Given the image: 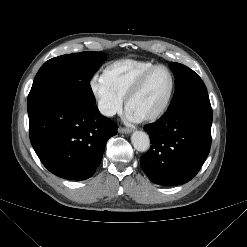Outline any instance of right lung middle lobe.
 I'll return each mask as SVG.
<instances>
[{
    "instance_id": "obj_1",
    "label": "right lung middle lobe",
    "mask_w": 247,
    "mask_h": 247,
    "mask_svg": "<svg viewBox=\"0 0 247 247\" xmlns=\"http://www.w3.org/2000/svg\"><path fill=\"white\" fill-rule=\"evenodd\" d=\"M106 57L102 52L87 51L48 60L35 76L28 107L52 97L95 104L89 82Z\"/></svg>"
}]
</instances>
